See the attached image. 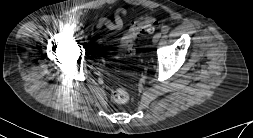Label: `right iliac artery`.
Here are the masks:
<instances>
[{
    "instance_id": "obj_1",
    "label": "right iliac artery",
    "mask_w": 253,
    "mask_h": 138,
    "mask_svg": "<svg viewBox=\"0 0 253 138\" xmlns=\"http://www.w3.org/2000/svg\"><path fill=\"white\" fill-rule=\"evenodd\" d=\"M70 29L73 31V32H76L78 30V26L76 24H72L70 26Z\"/></svg>"
}]
</instances>
